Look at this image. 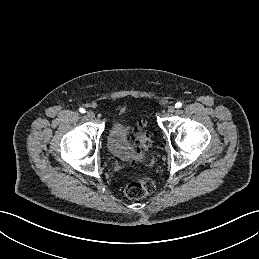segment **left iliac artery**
<instances>
[{
	"mask_svg": "<svg viewBox=\"0 0 259 259\" xmlns=\"http://www.w3.org/2000/svg\"><path fill=\"white\" fill-rule=\"evenodd\" d=\"M175 107H176V108L182 107V103H181V102H177V103L175 104Z\"/></svg>",
	"mask_w": 259,
	"mask_h": 259,
	"instance_id": "obj_1",
	"label": "left iliac artery"
}]
</instances>
